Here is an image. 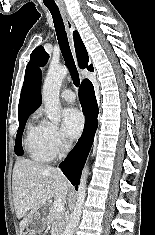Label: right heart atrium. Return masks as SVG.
<instances>
[{"label":"right heart atrium","instance_id":"right-heart-atrium-1","mask_svg":"<svg viewBox=\"0 0 155 235\" xmlns=\"http://www.w3.org/2000/svg\"><path fill=\"white\" fill-rule=\"evenodd\" d=\"M43 140L53 155L60 154L67 149V142L61 131L48 121L40 123Z\"/></svg>","mask_w":155,"mask_h":235}]
</instances>
